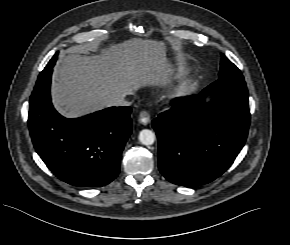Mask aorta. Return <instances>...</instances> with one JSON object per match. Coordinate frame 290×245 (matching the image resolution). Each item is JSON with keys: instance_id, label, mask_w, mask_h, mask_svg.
Wrapping results in <instances>:
<instances>
[{"instance_id": "762f6f07", "label": "aorta", "mask_w": 290, "mask_h": 245, "mask_svg": "<svg viewBox=\"0 0 290 245\" xmlns=\"http://www.w3.org/2000/svg\"><path fill=\"white\" fill-rule=\"evenodd\" d=\"M138 138L141 144L149 146L155 141V133L149 129H143L140 131Z\"/></svg>"}]
</instances>
